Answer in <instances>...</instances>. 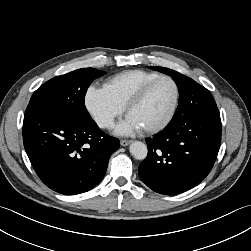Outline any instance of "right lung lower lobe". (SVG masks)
Listing matches in <instances>:
<instances>
[{
	"instance_id": "98d812e1",
	"label": "right lung lower lobe",
	"mask_w": 251,
	"mask_h": 251,
	"mask_svg": "<svg viewBox=\"0 0 251 251\" xmlns=\"http://www.w3.org/2000/svg\"><path fill=\"white\" fill-rule=\"evenodd\" d=\"M23 142L42 182L65 195L80 194L97 185L120 145L94 120L76 122L39 107L26 109Z\"/></svg>"
}]
</instances>
